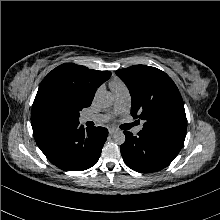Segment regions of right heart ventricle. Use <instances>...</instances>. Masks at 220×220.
I'll return each mask as SVG.
<instances>
[{
	"label": "right heart ventricle",
	"instance_id": "right-heart-ventricle-1",
	"mask_svg": "<svg viewBox=\"0 0 220 220\" xmlns=\"http://www.w3.org/2000/svg\"><path fill=\"white\" fill-rule=\"evenodd\" d=\"M120 85H122V83L119 82V81H116V80L111 81V83H110V87H111L112 90L119 87Z\"/></svg>",
	"mask_w": 220,
	"mask_h": 220
}]
</instances>
